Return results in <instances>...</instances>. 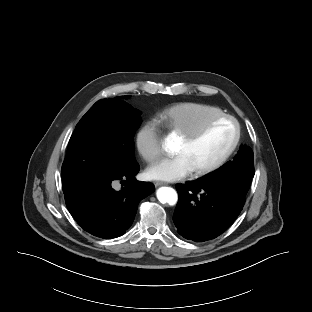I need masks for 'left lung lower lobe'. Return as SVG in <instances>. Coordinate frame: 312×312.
Instances as JSON below:
<instances>
[{
    "instance_id": "1",
    "label": "left lung lower lobe",
    "mask_w": 312,
    "mask_h": 312,
    "mask_svg": "<svg viewBox=\"0 0 312 312\" xmlns=\"http://www.w3.org/2000/svg\"><path fill=\"white\" fill-rule=\"evenodd\" d=\"M177 191L174 224L181 236L195 242L214 239L228 229L246 200L243 191L222 179L177 185Z\"/></svg>"
}]
</instances>
